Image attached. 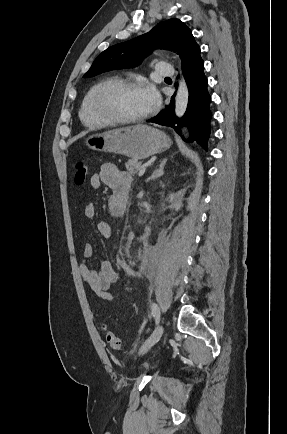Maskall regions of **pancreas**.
<instances>
[{
  "mask_svg": "<svg viewBox=\"0 0 287 434\" xmlns=\"http://www.w3.org/2000/svg\"><path fill=\"white\" fill-rule=\"evenodd\" d=\"M142 166L143 164L141 161L134 160V159H131L127 163H125V167L127 171L133 176L139 172Z\"/></svg>",
  "mask_w": 287,
  "mask_h": 434,
  "instance_id": "cf45deb5",
  "label": "pancreas"
}]
</instances>
